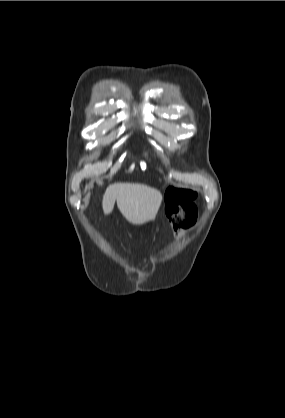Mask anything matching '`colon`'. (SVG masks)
<instances>
[{"mask_svg": "<svg viewBox=\"0 0 285 418\" xmlns=\"http://www.w3.org/2000/svg\"><path fill=\"white\" fill-rule=\"evenodd\" d=\"M166 214L169 221L175 227L177 239H182L185 232L195 222V205L193 203V192L171 187L167 190Z\"/></svg>", "mask_w": 285, "mask_h": 418, "instance_id": "1", "label": "colon"}]
</instances>
